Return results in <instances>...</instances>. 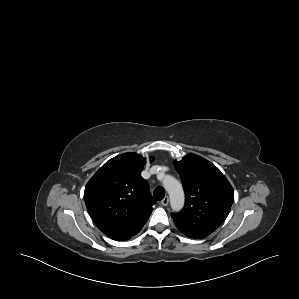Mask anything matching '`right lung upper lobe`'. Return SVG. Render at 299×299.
Wrapping results in <instances>:
<instances>
[{
	"mask_svg": "<svg viewBox=\"0 0 299 299\" xmlns=\"http://www.w3.org/2000/svg\"><path fill=\"white\" fill-rule=\"evenodd\" d=\"M153 157H150V161ZM146 160L124 153L106 162L89 180L84 199L97 227L114 240L136 235L155 204L148 183L141 177Z\"/></svg>",
	"mask_w": 299,
	"mask_h": 299,
	"instance_id": "1",
	"label": "right lung upper lobe"
}]
</instances>
